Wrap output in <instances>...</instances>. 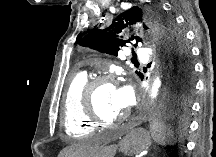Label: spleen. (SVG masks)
Segmentation results:
<instances>
[{"mask_svg":"<svg viewBox=\"0 0 216 157\" xmlns=\"http://www.w3.org/2000/svg\"><path fill=\"white\" fill-rule=\"evenodd\" d=\"M151 137L153 140L162 146L173 145V132L161 121H153L150 125Z\"/></svg>","mask_w":216,"mask_h":157,"instance_id":"obj_1","label":"spleen"}]
</instances>
